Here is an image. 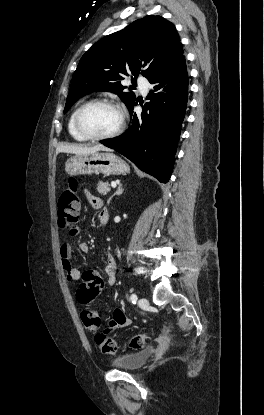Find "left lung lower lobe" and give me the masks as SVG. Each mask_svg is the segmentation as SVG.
<instances>
[{
  "instance_id": "obj_1",
  "label": "left lung lower lobe",
  "mask_w": 264,
  "mask_h": 415,
  "mask_svg": "<svg viewBox=\"0 0 264 415\" xmlns=\"http://www.w3.org/2000/svg\"><path fill=\"white\" fill-rule=\"evenodd\" d=\"M149 82L150 102L137 115L128 108L131 125L122 135L101 141L130 159L139 169L160 182L170 179L188 100V73L184 55Z\"/></svg>"
}]
</instances>
